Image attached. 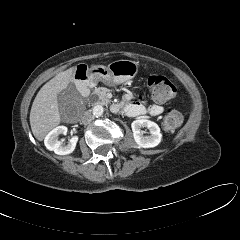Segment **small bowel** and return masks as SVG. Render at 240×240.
<instances>
[{
  "label": "small bowel",
  "mask_w": 240,
  "mask_h": 240,
  "mask_svg": "<svg viewBox=\"0 0 240 240\" xmlns=\"http://www.w3.org/2000/svg\"><path fill=\"white\" fill-rule=\"evenodd\" d=\"M119 109L131 117H139L144 115L159 116L163 113L164 107L160 104H146L142 98L134 100L133 92L127 91L122 96Z\"/></svg>",
  "instance_id": "obj_1"
}]
</instances>
